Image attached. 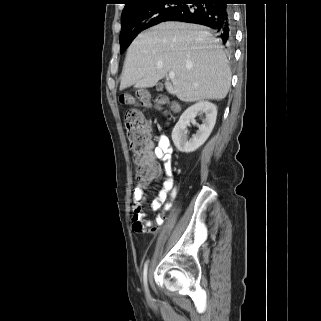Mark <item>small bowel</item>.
<instances>
[{
	"instance_id": "obj_1",
	"label": "small bowel",
	"mask_w": 321,
	"mask_h": 321,
	"mask_svg": "<svg viewBox=\"0 0 321 321\" xmlns=\"http://www.w3.org/2000/svg\"><path fill=\"white\" fill-rule=\"evenodd\" d=\"M172 154L173 148L169 138L165 135H161L158 138L156 147L153 144H149V155L157 166L158 172L154 179L160 178L164 174V180L161 184L156 197L151 202V208L158 210L164 205V210H168L171 207V202L176 196V189L174 186L173 168H172ZM157 160L163 162V168L157 162ZM151 182H139V184L133 190V215H132V227L135 232L138 233H156L160 226L164 222V216L158 215L155 223L144 220L142 212V204L146 200L145 190Z\"/></svg>"
}]
</instances>
